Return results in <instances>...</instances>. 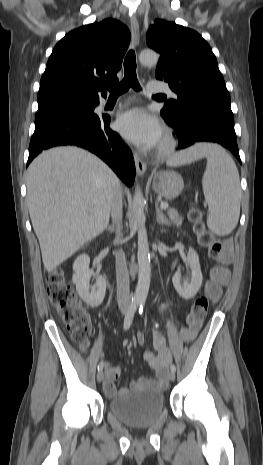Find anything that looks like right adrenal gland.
<instances>
[{
	"label": "right adrenal gland",
	"instance_id": "obj_1",
	"mask_svg": "<svg viewBox=\"0 0 263 465\" xmlns=\"http://www.w3.org/2000/svg\"><path fill=\"white\" fill-rule=\"evenodd\" d=\"M107 230L109 232H113L114 231V225L108 226Z\"/></svg>",
	"mask_w": 263,
	"mask_h": 465
}]
</instances>
